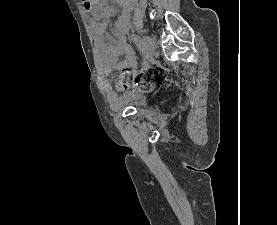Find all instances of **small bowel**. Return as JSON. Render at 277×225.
<instances>
[{"mask_svg": "<svg viewBox=\"0 0 277 225\" xmlns=\"http://www.w3.org/2000/svg\"><path fill=\"white\" fill-rule=\"evenodd\" d=\"M116 5L123 8V14L119 17L109 33L105 32L110 16L114 12L112 6H104L101 12L88 3H85V8L91 13L90 29L95 37L97 48L101 54L104 66V74L106 80L104 82V91L111 104L118 102V95L109 84L108 77L112 71L121 67H128L131 69L137 68V59L134 51L127 45L125 41V34L129 28V14L135 0H112ZM124 55L125 61L118 62V57ZM118 90L123 91L122 82H118Z\"/></svg>", "mask_w": 277, "mask_h": 225, "instance_id": "1", "label": "small bowel"}]
</instances>
